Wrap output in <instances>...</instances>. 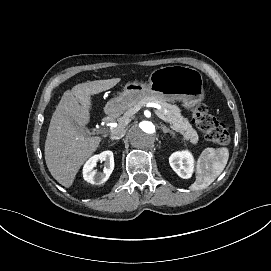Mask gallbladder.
Segmentation results:
<instances>
[{
    "label": "gallbladder",
    "mask_w": 271,
    "mask_h": 271,
    "mask_svg": "<svg viewBox=\"0 0 271 271\" xmlns=\"http://www.w3.org/2000/svg\"><path fill=\"white\" fill-rule=\"evenodd\" d=\"M71 119H72V121H71L72 125H73L75 128H77L78 131H80L81 129H83V133H85L84 126H80V125L78 124V122L76 121V119H74V118H71Z\"/></svg>",
    "instance_id": "gallbladder-1"
}]
</instances>
